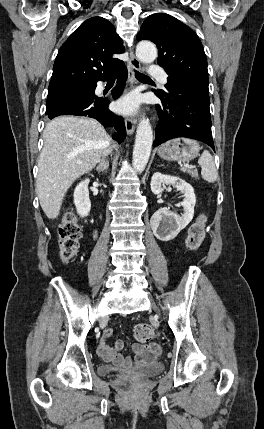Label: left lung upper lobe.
I'll list each match as a JSON object with an SVG mask.
<instances>
[{
	"mask_svg": "<svg viewBox=\"0 0 264 429\" xmlns=\"http://www.w3.org/2000/svg\"><path fill=\"white\" fill-rule=\"evenodd\" d=\"M144 39L156 44L157 63L168 74L166 91L156 92L167 96L170 82L177 81L209 93L206 55L200 39L190 27L171 15L151 14L137 35L138 41Z\"/></svg>",
	"mask_w": 264,
	"mask_h": 429,
	"instance_id": "1",
	"label": "left lung upper lobe"
}]
</instances>
